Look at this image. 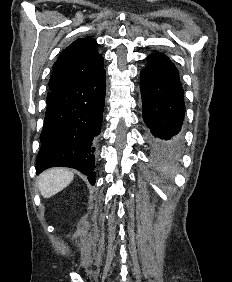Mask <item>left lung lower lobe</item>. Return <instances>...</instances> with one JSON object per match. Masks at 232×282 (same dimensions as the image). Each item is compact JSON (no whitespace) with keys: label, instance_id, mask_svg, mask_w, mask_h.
Wrapping results in <instances>:
<instances>
[{"label":"left lung lower lobe","instance_id":"1","mask_svg":"<svg viewBox=\"0 0 232 282\" xmlns=\"http://www.w3.org/2000/svg\"><path fill=\"white\" fill-rule=\"evenodd\" d=\"M140 77L143 119L149 129V144L155 149L179 145L185 103L177 68L167 56L155 52L147 57V66L140 72Z\"/></svg>","mask_w":232,"mask_h":282}]
</instances>
